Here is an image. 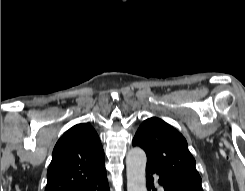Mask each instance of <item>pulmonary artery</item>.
Returning <instances> with one entry per match:
<instances>
[{
    "instance_id": "pulmonary-artery-1",
    "label": "pulmonary artery",
    "mask_w": 245,
    "mask_h": 191,
    "mask_svg": "<svg viewBox=\"0 0 245 191\" xmlns=\"http://www.w3.org/2000/svg\"><path fill=\"white\" fill-rule=\"evenodd\" d=\"M159 191H163V188H162V186H159Z\"/></svg>"
}]
</instances>
